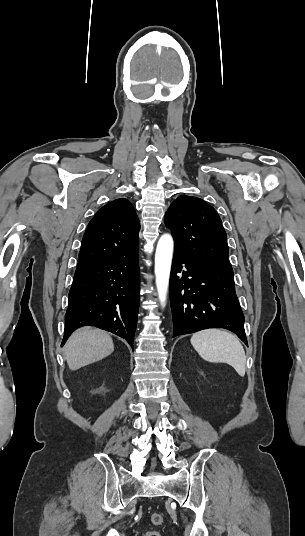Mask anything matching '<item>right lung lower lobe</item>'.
I'll list each match as a JSON object with an SVG mask.
<instances>
[{
	"instance_id": "98d812e1",
	"label": "right lung lower lobe",
	"mask_w": 305,
	"mask_h": 536,
	"mask_svg": "<svg viewBox=\"0 0 305 536\" xmlns=\"http://www.w3.org/2000/svg\"><path fill=\"white\" fill-rule=\"evenodd\" d=\"M139 292L138 252L77 268L62 345L77 328L93 325L125 338L133 347Z\"/></svg>"
}]
</instances>
